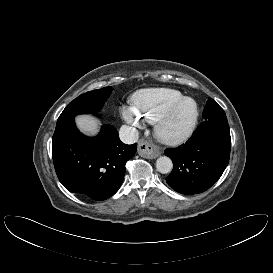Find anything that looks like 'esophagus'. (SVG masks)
Returning a JSON list of instances; mask_svg holds the SVG:
<instances>
[{
    "instance_id": "1",
    "label": "esophagus",
    "mask_w": 273,
    "mask_h": 273,
    "mask_svg": "<svg viewBox=\"0 0 273 273\" xmlns=\"http://www.w3.org/2000/svg\"><path fill=\"white\" fill-rule=\"evenodd\" d=\"M138 153L145 158L154 159L160 156L162 151L160 148L150 145L146 140L141 139L138 142Z\"/></svg>"
}]
</instances>
